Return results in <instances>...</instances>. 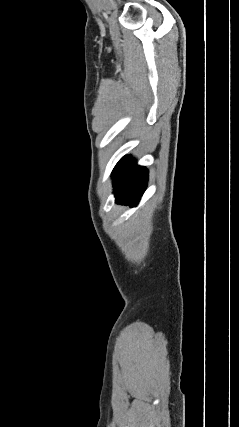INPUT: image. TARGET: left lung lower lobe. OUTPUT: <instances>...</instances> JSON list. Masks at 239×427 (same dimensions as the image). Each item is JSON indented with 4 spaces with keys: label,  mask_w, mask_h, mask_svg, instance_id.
<instances>
[{
    "label": "left lung lower lobe",
    "mask_w": 239,
    "mask_h": 427,
    "mask_svg": "<svg viewBox=\"0 0 239 427\" xmlns=\"http://www.w3.org/2000/svg\"><path fill=\"white\" fill-rule=\"evenodd\" d=\"M147 176L145 167L136 166L129 156L123 157L112 172L115 200L136 206L146 189Z\"/></svg>",
    "instance_id": "1"
}]
</instances>
